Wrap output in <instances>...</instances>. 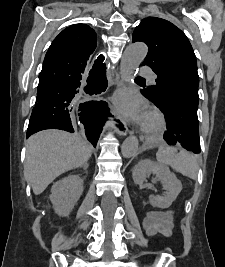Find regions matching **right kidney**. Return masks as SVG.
I'll list each match as a JSON object with an SVG mask.
<instances>
[{"label":"right kidney","instance_id":"obj_1","mask_svg":"<svg viewBox=\"0 0 225 267\" xmlns=\"http://www.w3.org/2000/svg\"><path fill=\"white\" fill-rule=\"evenodd\" d=\"M83 193V179L79 175H69L57 182L51 188L50 200L55 213L66 217Z\"/></svg>","mask_w":225,"mask_h":267}]
</instances>
